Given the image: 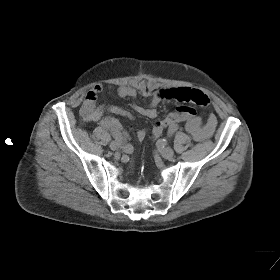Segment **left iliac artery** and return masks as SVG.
I'll list each match as a JSON object with an SVG mask.
<instances>
[{
    "label": "left iliac artery",
    "mask_w": 280,
    "mask_h": 280,
    "mask_svg": "<svg viewBox=\"0 0 280 280\" xmlns=\"http://www.w3.org/2000/svg\"><path fill=\"white\" fill-rule=\"evenodd\" d=\"M179 129V125L177 123L172 124L168 129V135L172 136Z\"/></svg>",
    "instance_id": "1"
}]
</instances>
